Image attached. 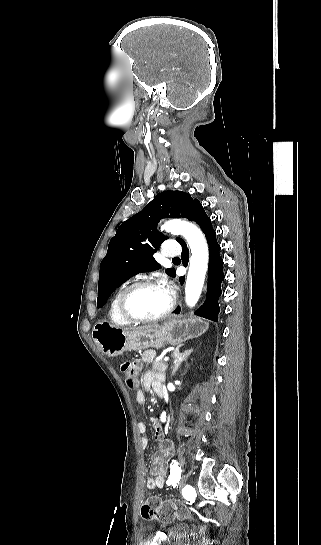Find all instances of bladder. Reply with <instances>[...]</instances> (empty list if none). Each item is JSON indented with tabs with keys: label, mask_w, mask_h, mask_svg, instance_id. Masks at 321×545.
Masks as SVG:
<instances>
[{
	"label": "bladder",
	"mask_w": 321,
	"mask_h": 545,
	"mask_svg": "<svg viewBox=\"0 0 321 545\" xmlns=\"http://www.w3.org/2000/svg\"><path fill=\"white\" fill-rule=\"evenodd\" d=\"M187 530V526L184 523H174L166 528L167 535L179 539L181 538Z\"/></svg>",
	"instance_id": "31cf9c89"
}]
</instances>
